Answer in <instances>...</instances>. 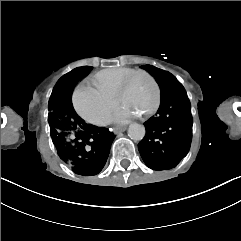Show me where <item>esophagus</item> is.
Here are the masks:
<instances>
[{
	"label": "esophagus",
	"instance_id": "obj_1",
	"mask_svg": "<svg viewBox=\"0 0 241 241\" xmlns=\"http://www.w3.org/2000/svg\"><path fill=\"white\" fill-rule=\"evenodd\" d=\"M126 130V127H122V128H114L113 132L114 134H119L121 132H124Z\"/></svg>",
	"mask_w": 241,
	"mask_h": 241
}]
</instances>
